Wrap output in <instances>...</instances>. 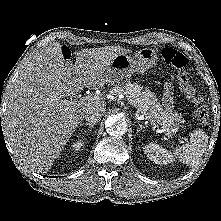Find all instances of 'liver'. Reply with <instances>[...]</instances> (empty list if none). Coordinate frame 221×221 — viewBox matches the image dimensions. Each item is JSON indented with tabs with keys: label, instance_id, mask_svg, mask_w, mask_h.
Returning <instances> with one entry per match:
<instances>
[{
	"label": "liver",
	"instance_id": "6515ba94",
	"mask_svg": "<svg viewBox=\"0 0 221 221\" xmlns=\"http://www.w3.org/2000/svg\"><path fill=\"white\" fill-rule=\"evenodd\" d=\"M128 53L120 46L86 48L77 52L73 65L53 43L35 55L19 73L7 104L4 127L15 156L31 169L48 171L87 111L106 104L62 98L84 87H104L107 68Z\"/></svg>",
	"mask_w": 221,
	"mask_h": 221
}]
</instances>
